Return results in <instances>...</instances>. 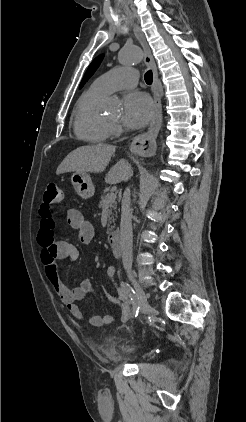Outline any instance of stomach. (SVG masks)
I'll return each instance as SVG.
<instances>
[{"mask_svg": "<svg viewBox=\"0 0 246 422\" xmlns=\"http://www.w3.org/2000/svg\"><path fill=\"white\" fill-rule=\"evenodd\" d=\"M72 185L76 193L83 199L90 198L94 195V186L90 176L85 173H74L71 177Z\"/></svg>", "mask_w": 246, "mask_h": 422, "instance_id": "stomach-1", "label": "stomach"}]
</instances>
